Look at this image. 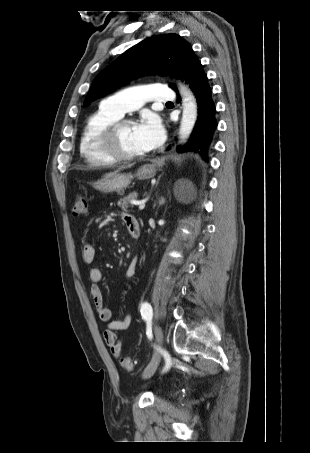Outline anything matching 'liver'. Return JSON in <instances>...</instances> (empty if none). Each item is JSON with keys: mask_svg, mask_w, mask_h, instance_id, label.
I'll return each instance as SVG.
<instances>
[{"mask_svg": "<svg viewBox=\"0 0 310 453\" xmlns=\"http://www.w3.org/2000/svg\"><path fill=\"white\" fill-rule=\"evenodd\" d=\"M126 167L125 166H122L120 167L118 170H116L115 172H111V173H108L106 174L104 177H109V176H112L113 174L117 173L118 171L122 170V169H125Z\"/></svg>", "mask_w": 310, "mask_h": 453, "instance_id": "1", "label": "liver"}]
</instances>
